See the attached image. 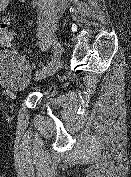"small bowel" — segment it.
I'll return each instance as SVG.
<instances>
[{
    "label": "small bowel",
    "instance_id": "1",
    "mask_svg": "<svg viewBox=\"0 0 131 177\" xmlns=\"http://www.w3.org/2000/svg\"><path fill=\"white\" fill-rule=\"evenodd\" d=\"M9 1L10 0H0V12H2L7 7ZM19 1L22 3L26 2V0H19Z\"/></svg>",
    "mask_w": 131,
    "mask_h": 177
}]
</instances>
